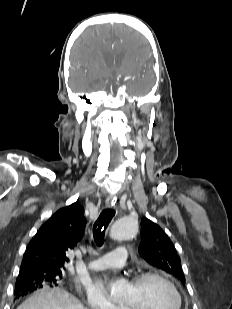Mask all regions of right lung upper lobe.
I'll list each match as a JSON object with an SVG mask.
<instances>
[{"instance_id":"right-lung-upper-lobe-1","label":"right lung upper lobe","mask_w":232,"mask_h":309,"mask_svg":"<svg viewBox=\"0 0 232 309\" xmlns=\"http://www.w3.org/2000/svg\"><path fill=\"white\" fill-rule=\"evenodd\" d=\"M86 220L77 202L58 210L29 242L20 271L64 270L68 250L83 236Z\"/></svg>"}]
</instances>
